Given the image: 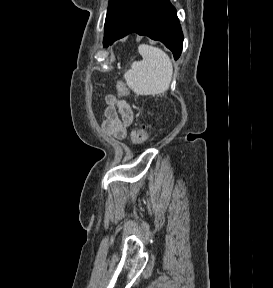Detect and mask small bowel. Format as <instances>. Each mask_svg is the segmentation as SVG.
I'll return each mask as SVG.
<instances>
[{
	"mask_svg": "<svg viewBox=\"0 0 273 288\" xmlns=\"http://www.w3.org/2000/svg\"><path fill=\"white\" fill-rule=\"evenodd\" d=\"M105 104L102 130L117 140L124 139L133 122V110L130 104L113 94L105 97Z\"/></svg>",
	"mask_w": 273,
	"mask_h": 288,
	"instance_id": "c3829d8e",
	"label": "small bowel"
}]
</instances>
